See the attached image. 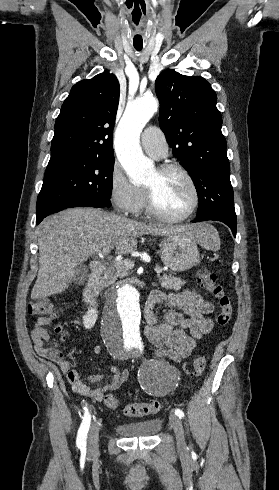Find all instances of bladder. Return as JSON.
Segmentation results:
<instances>
[{
    "label": "bladder",
    "instance_id": "bladder-1",
    "mask_svg": "<svg viewBox=\"0 0 279 490\" xmlns=\"http://www.w3.org/2000/svg\"><path fill=\"white\" fill-rule=\"evenodd\" d=\"M162 427V420L155 417L150 420L134 422H117L114 430L118 431L122 437L138 438L153 437Z\"/></svg>",
    "mask_w": 279,
    "mask_h": 490
}]
</instances>
